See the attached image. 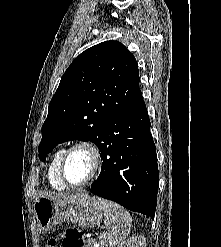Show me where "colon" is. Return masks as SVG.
<instances>
[{"mask_svg": "<svg viewBox=\"0 0 221 247\" xmlns=\"http://www.w3.org/2000/svg\"><path fill=\"white\" fill-rule=\"evenodd\" d=\"M45 247H86L82 232L74 227L68 228L59 242L56 238L49 239Z\"/></svg>", "mask_w": 221, "mask_h": 247, "instance_id": "colon-1", "label": "colon"}]
</instances>
